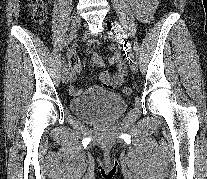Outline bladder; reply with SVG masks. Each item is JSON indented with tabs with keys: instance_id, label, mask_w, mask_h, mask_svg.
Masks as SVG:
<instances>
[{
	"instance_id": "bladder-1",
	"label": "bladder",
	"mask_w": 207,
	"mask_h": 179,
	"mask_svg": "<svg viewBox=\"0 0 207 179\" xmlns=\"http://www.w3.org/2000/svg\"><path fill=\"white\" fill-rule=\"evenodd\" d=\"M128 101L114 92L91 86L71 100V109L79 117L91 121H113L127 109Z\"/></svg>"
}]
</instances>
